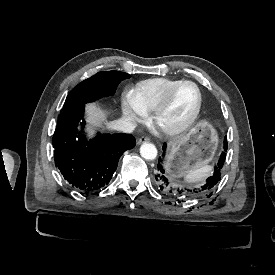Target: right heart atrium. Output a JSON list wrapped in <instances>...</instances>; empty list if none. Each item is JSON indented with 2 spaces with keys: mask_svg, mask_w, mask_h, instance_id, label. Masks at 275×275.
Listing matches in <instances>:
<instances>
[{
  "mask_svg": "<svg viewBox=\"0 0 275 275\" xmlns=\"http://www.w3.org/2000/svg\"><path fill=\"white\" fill-rule=\"evenodd\" d=\"M122 110L126 121L131 126H136L139 123H143L147 117V112L136 104L132 93H127L123 97Z\"/></svg>",
  "mask_w": 275,
  "mask_h": 275,
  "instance_id": "right-heart-atrium-1",
  "label": "right heart atrium"
}]
</instances>
